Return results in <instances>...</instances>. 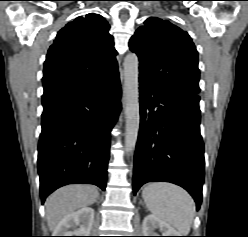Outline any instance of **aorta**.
<instances>
[{
	"label": "aorta",
	"instance_id": "aorta-1",
	"mask_svg": "<svg viewBox=\"0 0 248 237\" xmlns=\"http://www.w3.org/2000/svg\"><path fill=\"white\" fill-rule=\"evenodd\" d=\"M124 100H125V151L135 148L139 125V60L129 53L124 60Z\"/></svg>",
	"mask_w": 248,
	"mask_h": 237
}]
</instances>
